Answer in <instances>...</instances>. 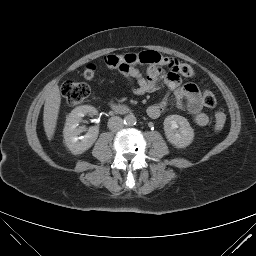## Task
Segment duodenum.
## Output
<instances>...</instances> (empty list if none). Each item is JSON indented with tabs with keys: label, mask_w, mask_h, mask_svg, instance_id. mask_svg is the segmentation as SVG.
<instances>
[{
	"label": "duodenum",
	"mask_w": 256,
	"mask_h": 256,
	"mask_svg": "<svg viewBox=\"0 0 256 256\" xmlns=\"http://www.w3.org/2000/svg\"><path fill=\"white\" fill-rule=\"evenodd\" d=\"M112 109L118 113H125L128 111V108L126 106L120 104H112Z\"/></svg>",
	"instance_id": "duodenum-1"
}]
</instances>
